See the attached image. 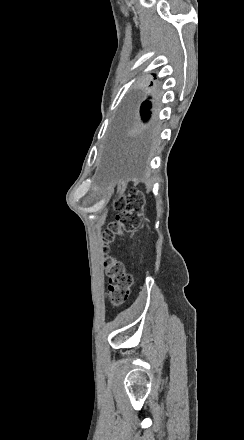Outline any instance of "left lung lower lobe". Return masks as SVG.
<instances>
[{
	"label": "left lung lower lobe",
	"instance_id": "1",
	"mask_svg": "<svg viewBox=\"0 0 244 440\" xmlns=\"http://www.w3.org/2000/svg\"><path fill=\"white\" fill-rule=\"evenodd\" d=\"M151 108V104L149 101H145L142 103L141 109H140V113L142 116L143 120H147L149 115H150V111L149 109Z\"/></svg>",
	"mask_w": 244,
	"mask_h": 440
}]
</instances>
